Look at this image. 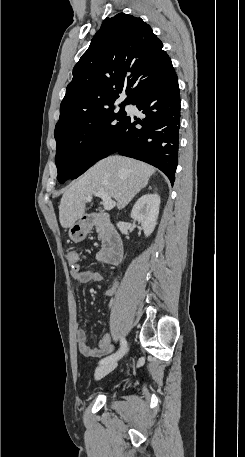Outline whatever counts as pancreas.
<instances>
[{"instance_id": "pancreas-1", "label": "pancreas", "mask_w": 245, "mask_h": 457, "mask_svg": "<svg viewBox=\"0 0 245 457\" xmlns=\"http://www.w3.org/2000/svg\"><path fill=\"white\" fill-rule=\"evenodd\" d=\"M96 226V233H98V241H104L105 239V226L101 224V222H97Z\"/></svg>"}]
</instances>
